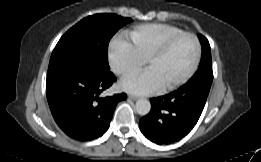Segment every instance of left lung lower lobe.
Here are the masks:
<instances>
[{
	"label": "left lung lower lobe",
	"instance_id": "left-lung-lower-lobe-1",
	"mask_svg": "<svg viewBox=\"0 0 261 162\" xmlns=\"http://www.w3.org/2000/svg\"><path fill=\"white\" fill-rule=\"evenodd\" d=\"M212 82H187L178 90L152 98L151 111L140 122L143 135L156 144H169L187 135L198 122Z\"/></svg>",
	"mask_w": 261,
	"mask_h": 162
}]
</instances>
